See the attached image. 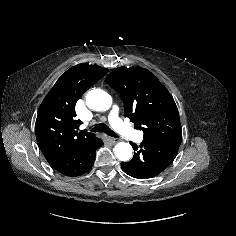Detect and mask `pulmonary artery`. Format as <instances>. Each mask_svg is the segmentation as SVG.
<instances>
[{
	"label": "pulmonary artery",
	"mask_w": 236,
	"mask_h": 236,
	"mask_svg": "<svg viewBox=\"0 0 236 236\" xmlns=\"http://www.w3.org/2000/svg\"><path fill=\"white\" fill-rule=\"evenodd\" d=\"M109 121L112 127L123 137L134 140L136 142H140L142 140V134L139 131L122 122L119 117V109L115 105L112 106L110 110Z\"/></svg>",
	"instance_id": "1"
}]
</instances>
